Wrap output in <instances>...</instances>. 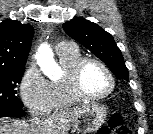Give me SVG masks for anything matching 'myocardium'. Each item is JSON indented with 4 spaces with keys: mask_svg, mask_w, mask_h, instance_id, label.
<instances>
[{
    "mask_svg": "<svg viewBox=\"0 0 153 134\" xmlns=\"http://www.w3.org/2000/svg\"><path fill=\"white\" fill-rule=\"evenodd\" d=\"M89 64H96L104 70L110 80V88L102 94H87L82 87V75ZM68 88L71 95L78 101H99L111 95L116 87V79L110 68L101 60L94 57L81 58L69 71L67 76Z\"/></svg>",
    "mask_w": 153,
    "mask_h": 134,
    "instance_id": "obj_1",
    "label": "myocardium"
}]
</instances>
